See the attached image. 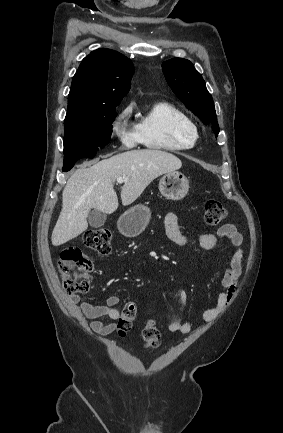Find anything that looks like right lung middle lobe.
Instances as JSON below:
<instances>
[{
    "label": "right lung middle lobe",
    "instance_id": "right-lung-middle-lobe-1",
    "mask_svg": "<svg viewBox=\"0 0 283 433\" xmlns=\"http://www.w3.org/2000/svg\"><path fill=\"white\" fill-rule=\"evenodd\" d=\"M117 105L81 106L68 109L65 117L64 156L96 154L109 143Z\"/></svg>",
    "mask_w": 283,
    "mask_h": 433
}]
</instances>
